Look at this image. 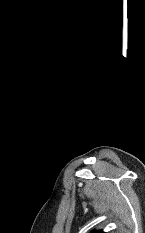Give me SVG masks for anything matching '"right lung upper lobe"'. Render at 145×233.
Here are the masks:
<instances>
[{"instance_id": "cb5924a9", "label": "right lung upper lobe", "mask_w": 145, "mask_h": 233, "mask_svg": "<svg viewBox=\"0 0 145 233\" xmlns=\"http://www.w3.org/2000/svg\"><path fill=\"white\" fill-rule=\"evenodd\" d=\"M93 233H105V232H103V231H95V232H93Z\"/></svg>"}]
</instances>
